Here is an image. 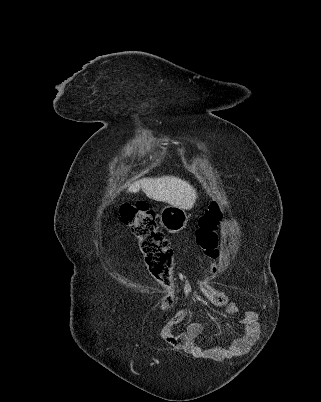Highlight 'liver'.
<instances>
[{
    "mask_svg": "<svg viewBox=\"0 0 321 402\" xmlns=\"http://www.w3.org/2000/svg\"><path fill=\"white\" fill-rule=\"evenodd\" d=\"M140 189L150 199L185 210L191 209L197 198L196 190L189 182L174 176L143 178L131 184L128 192L137 193Z\"/></svg>",
    "mask_w": 321,
    "mask_h": 402,
    "instance_id": "liver-1",
    "label": "liver"
}]
</instances>
